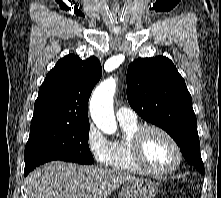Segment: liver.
I'll list each match as a JSON object with an SVG mask.
<instances>
[{
  "label": "liver",
  "mask_w": 221,
  "mask_h": 198,
  "mask_svg": "<svg viewBox=\"0 0 221 198\" xmlns=\"http://www.w3.org/2000/svg\"><path fill=\"white\" fill-rule=\"evenodd\" d=\"M134 179L126 172L52 161L31 172L26 183L28 198H107Z\"/></svg>",
  "instance_id": "6515ba94"
}]
</instances>
